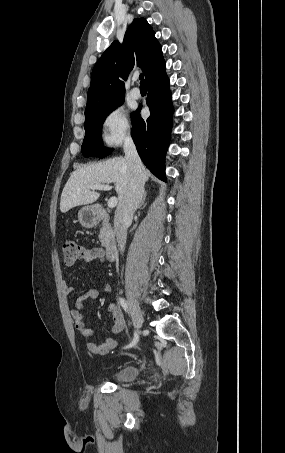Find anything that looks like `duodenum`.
Returning <instances> with one entry per match:
<instances>
[{
    "mask_svg": "<svg viewBox=\"0 0 285 453\" xmlns=\"http://www.w3.org/2000/svg\"><path fill=\"white\" fill-rule=\"evenodd\" d=\"M95 213L99 220L106 221L109 219L108 213L103 208H97ZM104 254L108 261H113L116 258L117 243L112 235L108 236L104 242Z\"/></svg>",
    "mask_w": 285,
    "mask_h": 453,
    "instance_id": "obj_1",
    "label": "duodenum"
}]
</instances>
